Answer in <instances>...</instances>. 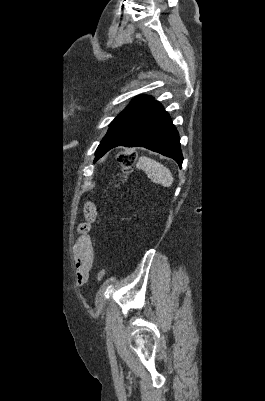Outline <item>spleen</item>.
<instances>
[{
    "label": "spleen",
    "mask_w": 265,
    "mask_h": 401,
    "mask_svg": "<svg viewBox=\"0 0 265 401\" xmlns=\"http://www.w3.org/2000/svg\"><path fill=\"white\" fill-rule=\"evenodd\" d=\"M137 168L145 170L152 182H157V184H162V186H171V184H173L174 178L169 168L163 166L161 162H156L153 158L140 156V158H138Z\"/></svg>",
    "instance_id": "spleen-1"
}]
</instances>
